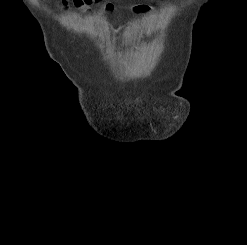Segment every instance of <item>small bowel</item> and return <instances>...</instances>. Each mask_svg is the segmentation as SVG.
I'll return each mask as SVG.
<instances>
[{"label":"small bowel","mask_w":247,"mask_h":245,"mask_svg":"<svg viewBox=\"0 0 247 245\" xmlns=\"http://www.w3.org/2000/svg\"><path fill=\"white\" fill-rule=\"evenodd\" d=\"M69 1L72 2V4L76 7V8H79V9H86L88 8L92 2H94L95 0H60L61 4L64 6V7H67L68 6V3ZM148 9L147 6H144V5H139V6H136L134 8V10L136 12H143V11H146Z\"/></svg>","instance_id":"obj_1"}]
</instances>
